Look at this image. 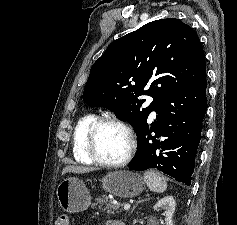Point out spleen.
I'll list each match as a JSON object with an SVG mask.
<instances>
[{"mask_svg": "<svg viewBox=\"0 0 237 225\" xmlns=\"http://www.w3.org/2000/svg\"><path fill=\"white\" fill-rule=\"evenodd\" d=\"M144 181L148 188L154 192L161 193L167 188L165 179L153 170L144 173Z\"/></svg>", "mask_w": 237, "mask_h": 225, "instance_id": "obj_1", "label": "spleen"}]
</instances>
